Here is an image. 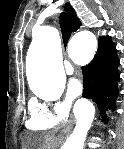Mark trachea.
Segmentation results:
<instances>
[{"label":"trachea","instance_id":"1","mask_svg":"<svg viewBox=\"0 0 124 149\" xmlns=\"http://www.w3.org/2000/svg\"><path fill=\"white\" fill-rule=\"evenodd\" d=\"M60 28L62 32V38L65 43L69 40L72 34V26L68 16L64 12L60 14Z\"/></svg>","mask_w":124,"mask_h":149}]
</instances>
